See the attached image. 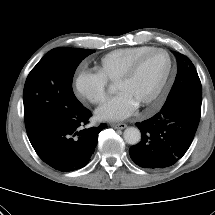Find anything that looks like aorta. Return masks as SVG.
Returning <instances> with one entry per match:
<instances>
[{
  "label": "aorta",
  "instance_id": "obj_1",
  "mask_svg": "<svg viewBox=\"0 0 215 215\" xmlns=\"http://www.w3.org/2000/svg\"><path fill=\"white\" fill-rule=\"evenodd\" d=\"M123 135H124V140L130 145H136L141 140L140 130L135 127L126 128Z\"/></svg>",
  "mask_w": 215,
  "mask_h": 215
}]
</instances>
